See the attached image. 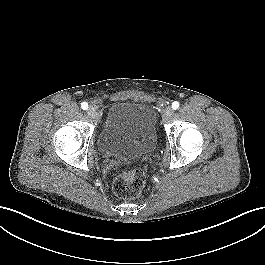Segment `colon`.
I'll use <instances>...</instances> for the list:
<instances>
[{
  "label": "colon",
  "instance_id": "1",
  "mask_svg": "<svg viewBox=\"0 0 265 265\" xmlns=\"http://www.w3.org/2000/svg\"><path fill=\"white\" fill-rule=\"evenodd\" d=\"M145 175L141 169H131L117 174L113 180L114 193L122 199H133L142 193Z\"/></svg>",
  "mask_w": 265,
  "mask_h": 265
}]
</instances>
